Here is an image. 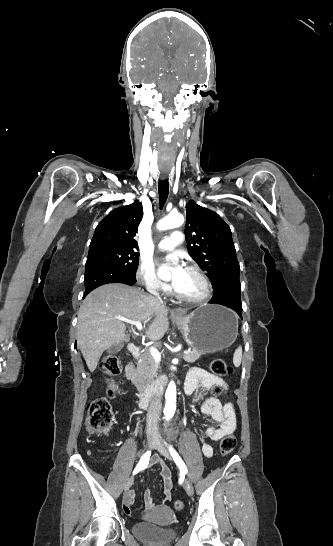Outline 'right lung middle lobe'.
<instances>
[{
  "label": "right lung middle lobe",
  "mask_w": 333,
  "mask_h": 546,
  "mask_svg": "<svg viewBox=\"0 0 333 546\" xmlns=\"http://www.w3.org/2000/svg\"><path fill=\"white\" fill-rule=\"evenodd\" d=\"M139 262V254L136 250L119 247H104L89 251L86 266L94 263H102L118 267L126 271L136 273Z\"/></svg>",
  "instance_id": "right-lung-middle-lobe-1"
}]
</instances>
